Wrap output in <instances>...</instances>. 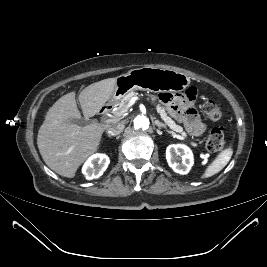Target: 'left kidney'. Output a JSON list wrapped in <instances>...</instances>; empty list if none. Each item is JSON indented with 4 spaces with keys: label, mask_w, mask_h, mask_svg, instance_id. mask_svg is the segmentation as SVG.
Here are the masks:
<instances>
[{
    "label": "left kidney",
    "mask_w": 267,
    "mask_h": 267,
    "mask_svg": "<svg viewBox=\"0 0 267 267\" xmlns=\"http://www.w3.org/2000/svg\"><path fill=\"white\" fill-rule=\"evenodd\" d=\"M168 165L174 172L181 175L187 174L193 165V153L184 144H171L166 149Z\"/></svg>",
    "instance_id": "obj_1"
}]
</instances>
